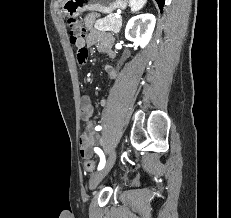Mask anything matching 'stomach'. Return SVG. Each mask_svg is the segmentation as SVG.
<instances>
[{
    "instance_id": "1",
    "label": "stomach",
    "mask_w": 231,
    "mask_h": 218,
    "mask_svg": "<svg viewBox=\"0 0 231 218\" xmlns=\"http://www.w3.org/2000/svg\"><path fill=\"white\" fill-rule=\"evenodd\" d=\"M129 0H64L62 9L68 17H78L84 11L112 13L117 9H125Z\"/></svg>"
}]
</instances>
